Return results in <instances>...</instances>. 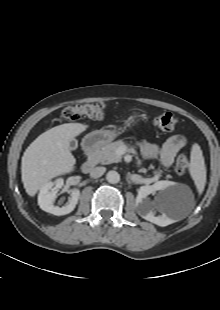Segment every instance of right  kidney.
Listing matches in <instances>:
<instances>
[{
    "label": "right kidney",
    "mask_w": 220,
    "mask_h": 310,
    "mask_svg": "<svg viewBox=\"0 0 220 310\" xmlns=\"http://www.w3.org/2000/svg\"><path fill=\"white\" fill-rule=\"evenodd\" d=\"M63 185L64 180L62 178H58L54 182H47L40 188L38 205L42 210L57 216L69 214L74 210L80 196V191L78 189H73L71 191V197L69 198L67 205L62 207L53 205V202L56 199V193L63 187Z\"/></svg>",
    "instance_id": "1"
}]
</instances>
